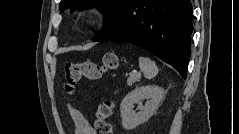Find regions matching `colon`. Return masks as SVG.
<instances>
[{
  "label": "colon",
  "mask_w": 239,
  "mask_h": 134,
  "mask_svg": "<svg viewBox=\"0 0 239 134\" xmlns=\"http://www.w3.org/2000/svg\"><path fill=\"white\" fill-rule=\"evenodd\" d=\"M118 67V56L115 53H106L102 63L84 61L81 63H67L64 67V90L73 93L76 85L81 79L89 81L99 80L107 71ZM114 112V103L105 100L99 104L96 110L95 127L101 134H113L114 128L108 119Z\"/></svg>",
  "instance_id": "colon-1"
}]
</instances>
